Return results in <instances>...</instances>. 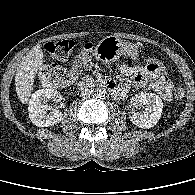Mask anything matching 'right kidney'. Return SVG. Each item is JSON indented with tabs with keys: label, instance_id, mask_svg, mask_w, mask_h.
<instances>
[{
	"label": "right kidney",
	"instance_id": "1",
	"mask_svg": "<svg viewBox=\"0 0 195 195\" xmlns=\"http://www.w3.org/2000/svg\"><path fill=\"white\" fill-rule=\"evenodd\" d=\"M59 98V93L53 89H40L32 94L29 100V118L35 126L49 127L59 123L62 119V113L54 109L49 114V100L56 101Z\"/></svg>",
	"mask_w": 195,
	"mask_h": 195
}]
</instances>
